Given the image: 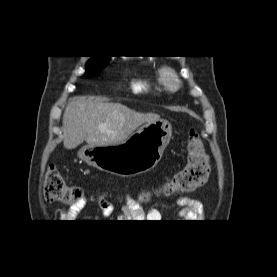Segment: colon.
I'll return each instance as SVG.
<instances>
[{
    "instance_id": "colon-1",
    "label": "colon",
    "mask_w": 277,
    "mask_h": 277,
    "mask_svg": "<svg viewBox=\"0 0 277 277\" xmlns=\"http://www.w3.org/2000/svg\"><path fill=\"white\" fill-rule=\"evenodd\" d=\"M209 174V162L202 138L197 131L191 130L187 141V162L183 169L168 180L160 189L163 194L175 192H192L202 186ZM43 196L49 202L74 205L84 197L83 190L78 186L68 185L62 174L54 165L46 171ZM149 195L140 193L141 201Z\"/></svg>"
}]
</instances>
